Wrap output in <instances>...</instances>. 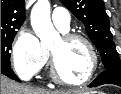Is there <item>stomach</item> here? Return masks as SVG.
<instances>
[{
  "mask_svg": "<svg viewBox=\"0 0 121 94\" xmlns=\"http://www.w3.org/2000/svg\"><path fill=\"white\" fill-rule=\"evenodd\" d=\"M82 94H104V93L99 92V91H94V92H87V93H82Z\"/></svg>",
  "mask_w": 121,
  "mask_h": 94,
  "instance_id": "1",
  "label": "stomach"
}]
</instances>
